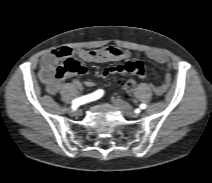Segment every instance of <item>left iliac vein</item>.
<instances>
[{
  "label": "left iliac vein",
  "mask_w": 212,
  "mask_h": 183,
  "mask_svg": "<svg viewBox=\"0 0 212 183\" xmlns=\"http://www.w3.org/2000/svg\"><path fill=\"white\" fill-rule=\"evenodd\" d=\"M112 103L116 105L119 109H121L127 116H130V117L136 116V112H134L129 106V104H127L125 101L118 98L116 99L113 98Z\"/></svg>",
  "instance_id": "obj_1"
}]
</instances>
